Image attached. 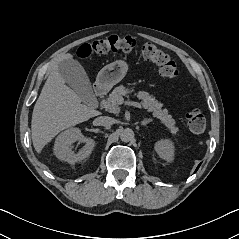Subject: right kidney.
I'll use <instances>...</instances> for the list:
<instances>
[{
	"mask_svg": "<svg viewBox=\"0 0 239 239\" xmlns=\"http://www.w3.org/2000/svg\"><path fill=\"white\" fill-rule=\"evenodd\" d=\"M76 141L85 143L84 147L78 153H74L71 149L72 144ZM94 146V140L84 137L79 128H70L59 134L56 138L54 154L59 160L73 164L89 157Z\"/></svg>",
	"mask_w": 239,
	"mask_h": 239,
	"instance_id": "1",
	"label": "right kidney"
}]
</instances>
